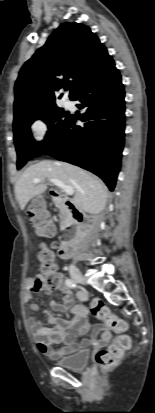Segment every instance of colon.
Masks as SVG:
<instances>
[{
    "mask_svg": "<svg viewBox=\"0 0 155 413\" xmlns=\"http://www.w3.org/2000/svg\"><path fill=\"white\" fill-rule=\"evenodd\" d=\"M34 199L27 210L30 224L38 235H47L52 231L53 224L44 202L45 194L36 192ZM38 256L45 284L48 287H55L59 282V275L51 248L46 244H41ZM91 312L97 319L103 321L107 328L119 334L108 348L98 351L95 356V361L99 366L108 368L116 364L130 348L131 338L124 334L127 329L125 321L113 314L101 300L95 299L91 302Z\"/></svg>",
    "mask_w": 155,
    "mask_h": 413,
    "instance_id": "obj_1",
    "label": "colon"
}]
</instances>
